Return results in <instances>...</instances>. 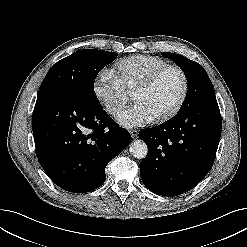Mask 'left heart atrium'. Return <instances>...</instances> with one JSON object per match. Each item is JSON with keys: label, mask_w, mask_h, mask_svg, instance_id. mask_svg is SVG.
<instances>
[{"label": "left heart atrium", "mask_w": 247, "mask_h": 247, "mask_svg": "<svg viewBox=\"0 0 247 247\" xmlns=\"http://www.w3.org/2000/svg\"><path fill=\"white\" fill-rule=\"evenodd\" d=\"M116 119L122 126L135 127L153 121L155 116L144 104L136 102L132 107L119 111Z\"/></svg>", "instance_id": "39dd6f15"}]
</instances>
